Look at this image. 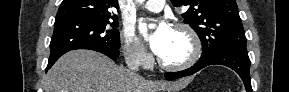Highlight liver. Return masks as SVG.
<instances>
[{
    "label": "liver",
    "mask_w": 289,
    "mask_h": 92,
    "mask_svg": "<svg viewBox=\"0 0 289 92\" xmlns=\"http://www.w3.org/2000/svg\"><path fill=\"white\" fill-rule=\"evenodd\" d=\"M186 80L167 83L145 80L117 66L105 55L85 49L64 54L43 80L44 92H158L181 88Z\"/></svg>",
    "instance_id": "liver-1"
}]
</instances>
